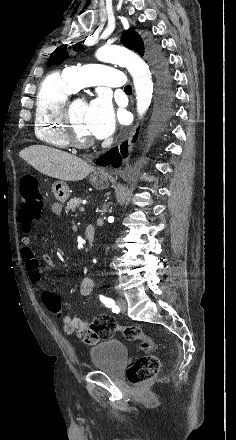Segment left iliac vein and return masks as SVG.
<instances>
[{
	"label": "left iliac vein",
	"mask_w": 236,
	"mask_h": 440,
	"mask_svg": "<svg viewBox=\"0 0 236 440\" xmlns=\"http://www.w3.org/2000/svg\"><path fill=\"white\" fill-rule=\"evenodd\" d=\"M117 304H118V308L120 309V311L126 312V310H127V303H126V300L124 298H119L117 300Z\"/></svg>",
	"instance_id": "1"
}]
</instances>
